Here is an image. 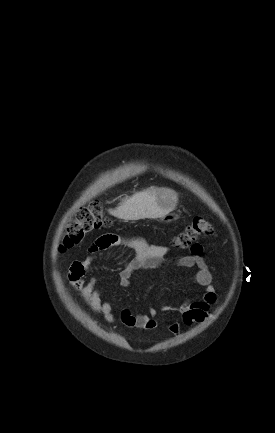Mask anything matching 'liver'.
Instances as JSON below:
<instances>
[{
	"label": "liver",
	"instance_id": "liver-1",
	"mask_svg": "<svg viewBox=\"0 0 275 433\" xmlns=\"http://www.w3.org/2000/svg\"><path fill=\"white\" fill-rule=\"evenodd\" d=\"M156 193V189L137 192L130 198L124 199L116 209H110L109 213L123 220L162 217L168 211H162L158 207Z\"/></svg>",
	"mask_w": 275,
	"mask_h": 433
}]
</instances>
